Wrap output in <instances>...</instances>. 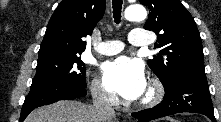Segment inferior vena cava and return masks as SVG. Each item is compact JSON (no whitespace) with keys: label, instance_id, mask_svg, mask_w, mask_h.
I'll return each mask as SVG.
<instances>
[{"label":"inferior vena cava","instance_id":"obj_1","mask_svg":"<svg viewBox=\"0 0 221 122\" xmlns=\"http://www.w3.org/2000/svg\"><path fill=\"white\" fill-rule=\"evenodd\" d=\"M93 94V107L99 122H104L106 119L115 118V111L112 107L107 92L97 87L92 90Z\"/></svg>","mask_w":221,"mask_h":122}]
</instances>
